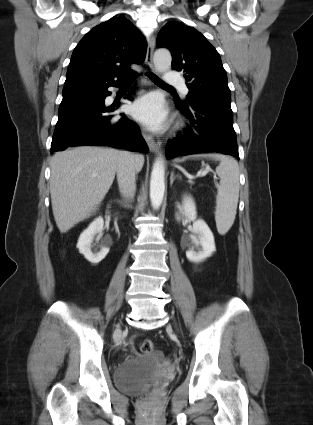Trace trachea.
Returning <instances> with one entry per match:
<instances>
[{
	"instance_id": "3493384b",
	"label": "trachea",
	"mask_w": 313,
	"mask_h": 425,
	"mask_svg": "<svg viewBox=\"0 0 313 425\" xmlns=\"http://www.w3.org/2000/svg\"><path fill=\"white\" fill-rule=\"evenodd\" d=\"M149 76V78L157 85L159 86H164V87H170L172 88L170 85L166 84L165 82H163L159 77H157L155 74L153 73H148L147 74Z\"/></svg>"
}]
</instances>
